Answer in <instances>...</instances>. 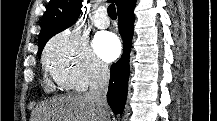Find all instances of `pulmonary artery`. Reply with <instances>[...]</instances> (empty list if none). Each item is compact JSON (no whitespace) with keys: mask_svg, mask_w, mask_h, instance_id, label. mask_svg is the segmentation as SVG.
<instances>
[{"mask_svg":"<svg viewBox=\"0 0 217 121\" xmlns=\"http://www.w3.org/2000/svg\"><path fill=\"white\" fill-rule=\"evenodd\" d=\"M110 19L103 9H98L94 18V25L99 29H105L109 26Z\"/></svg>","mask_w":217,"mask_h":121,"instance_id":"1","label":"pulmonary artery"}]
</instances>
